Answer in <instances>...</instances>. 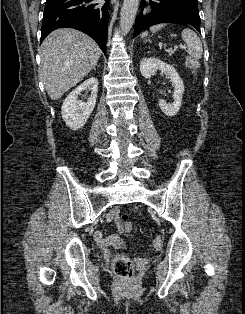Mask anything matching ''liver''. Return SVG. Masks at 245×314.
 I'll use <instances>...</instances> for the list:
<instances>
[{"instance_id": "6515ba94", "label": "liver", "mask_w": 245, "mask_h": 314, "mask_svg": "<svg viewBox=\"0 0 245 314\" xmlns=\"http://www.w3.org/2000/svg\"><path fill=\"white\" fill-rule=\"evenodd\" d=\"M101 49L85 33L69 28L50 33L40 48V78L52 100H58L95 67Z\"/></svg>"}]
</instances>
